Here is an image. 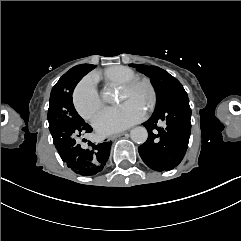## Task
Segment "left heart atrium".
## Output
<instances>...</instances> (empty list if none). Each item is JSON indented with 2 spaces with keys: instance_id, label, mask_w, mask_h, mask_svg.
<instances>
[{
  "instance_id": "1",
  "label": "left heart atrium",
  "mask_w": 241,
  "mask_h": 241,
  "mask_svg": "<svg viewBox=\"0 0 241 241\" xmlns=\"http://www.w3.org/2000/svg\"><path fill=\"white\" fill-rule=\"evenodd\" d=\"M144 118L141 110L129 111L123 107L106 108L93 118V126L103 135L122 132Z\"/></svg>"
}]
</instances>
